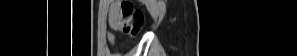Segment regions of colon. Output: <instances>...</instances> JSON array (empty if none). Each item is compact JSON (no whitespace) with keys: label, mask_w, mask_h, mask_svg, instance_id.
Masks as SVG:
<instances>
[{"label":"colon","mask_w":297,"mask_h":56,"mask_svg":"<svg viewBox=\"0 0 297 56\" xmlns=\"http://www.w3.org/2000/svg\"><path fill=\"white\" fill-rule=\"evenodd\" d=\"M120 16L119 29L129 36H135L144 22L143 12L130 1H122L118 4Z\"/></svg>","instance_id":"1"}]
</instances>
